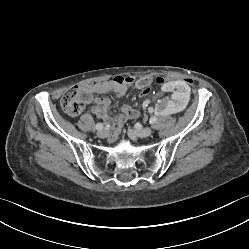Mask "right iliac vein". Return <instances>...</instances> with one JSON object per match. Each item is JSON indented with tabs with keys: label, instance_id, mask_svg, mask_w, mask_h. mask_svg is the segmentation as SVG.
Returning a JSON list of instances; mask_svg holds the SVG:
<instances>
[{
	"label": "right iliac vein",
	"instance_id": "obj_1",
	"mask_svg": "<svg viewBox=\"0 0 249 249\" xmlns=\"http://www.w3.org/2000/svg\"><path fill=\"white\" fill-rule=\"evenodd\" d=\"M107 135H108V132H107V130H105V129H101V130H99V131L97 132V136H98L99 138H105V137H107Z\"/></svg>",
	"mask_w": 249,
	"mask_h": 249
}]
</instances>
